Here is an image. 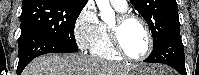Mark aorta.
Segmentation results:
<instances>
[{"label": "aorta", "mask_w": 199, "mask_h": 75, "mask_svg": "<svg viewBox=\"0 0 199 75\" xmlns=\"http://www.w3.org/2000/svg\"><path fill=\"white\" fill-rule=\"evenodd\" d=\"M96 4L100 10L101 19L110 22L115 18V12L110 6L109 0H96Z\"/></svg>", "instance_id": "obj_1"}]
</instances>
